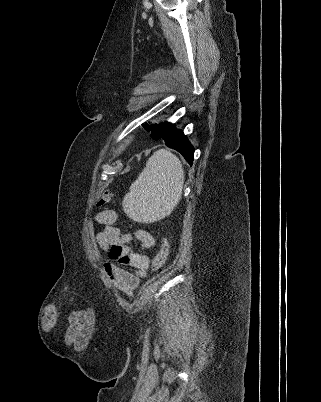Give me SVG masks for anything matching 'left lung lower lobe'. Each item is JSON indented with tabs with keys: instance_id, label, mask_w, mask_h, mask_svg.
Here are the masks:
<instances>
[{
	"instance_id": "obj_1",
	"label": "left lung lower lobe",
	"mask_w": 321,
	"mask_h": 402,
	"mask_svg": "<svg viewBox=\"0 0 321 402\" xmlns=\"http://www.w3.org/2000/svg\"><path fill=\"white\" fill-rule=\"evenodd\" d=\"M156 135V140H164L167 147L180 152L186 161L192 165L194 148L181 130L175 129L171 123L164 122L157 124Z\"/></svg>"
}]
</instances>
